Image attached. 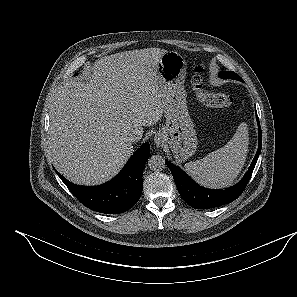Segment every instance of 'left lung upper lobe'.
I'll return each mask as SVG.
<instances>
[{
  "label": "left lung upper lobe",
  "instance_id": "obj_1",
  "mask_svg": "<svg viewBox=\"0 0 297 297\" xmlns=\"http://www.w3.org/2000/svg\"><path fill=\"white\" fill-rule=\"evenodd\" d=\"M220 76L223 79L230 78V79H235V80L243 81V79L238 74H236L233 71H224V72L220 73Z\"/></svg>",
  "mask_w": 297,
  "mask_h": 297
}]
</instances>
